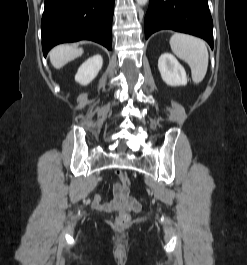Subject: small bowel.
Returning a JSON list of instances; mask_svg holds the SVG:
<instances>
[{
    "label": "small bowel",
    "instance_id": "small-bowel-1",
    "mask_svg": "<svg viewBox=\"0 0 247 265\" xmlns=\"http://www.w3.org/2000/svg\"><path fill=\"white\" fill-rule=\"evenodd\" d=\"M93 206L101 212L111 213L116 211L139 212L140 204L129 195V192H124L119 184L114 186V197L109 202H103L102 196L96 193L93 197Z\"/></svg>",
    "mask_w": 247,
    "mask_h": 265
}]
</instances>
